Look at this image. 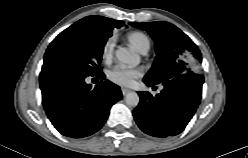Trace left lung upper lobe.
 <instances>
[{
  "label": "left lung upper lobe",
  "instance_id": "1",
  "mask_svg": "<svg viewBox=\"0 0 248 158\" xmlns=\"http://www.w3.org/2000/svg\"><path fill=\"white\" fill-rule=\"evenodd\" d=\"M130 25L147 31L155 42L157 56L144 79L165 84L183 74H198L196 65L202 61L200 50L179 28L162 21Z\"/></svg>",
  "mask_w": 248,
  "mask_h": 158
}]
</instances>
